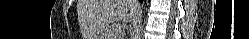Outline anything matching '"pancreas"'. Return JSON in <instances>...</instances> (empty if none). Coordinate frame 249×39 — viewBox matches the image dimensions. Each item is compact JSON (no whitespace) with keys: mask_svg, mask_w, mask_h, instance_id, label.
Segmentation results:
<instances>
[{"mask_svg":"<svg viewBox=\"0 0 249 39\" xmlns=\"http://www.w3.org/2000/svg\"><path fill=\"white\" fill-rule=\"evenodd\" d=\"M108 39H116L118 37V25L113 24L107 30L106 34Z\"/></svg>","mask_w":249,"mask_h":39,"instance_id":"obj_1","label":"pancreas"}]
</instances>
